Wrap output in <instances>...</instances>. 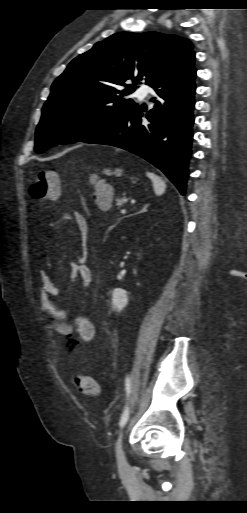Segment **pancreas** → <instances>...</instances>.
Instances as JSON below:
<instances>
[{"label":"pancreas","instance_id":"cf45deb5","mask_svg":"<svg viewBox=\"0 0 247 513\" xmlns=\"http://www.w3.org/2000/svg\"><path fill=\"white\" fill-rule=\"evenodd\" d=\"M119 203H124V199L119 201ZM121 218H118L117 220L119 221Z\"/></svg>","mask_w":247,"mask_h":513}]
</instances>
